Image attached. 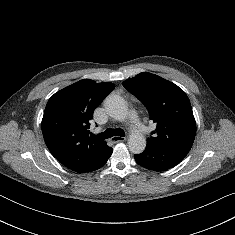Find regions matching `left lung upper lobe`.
Masks as SVG:
<instances>
[{"label":"left lung upper lobe","instance_id":"5c2ea615","mask_svg":"<svg viewBox=\"0 0 235 235\" xmlns=\"http://www.w3.org/2000/svg\"><path fill=\"white\" fill-rule=\"evenodd\" d=\"M123 86L147 108L157 124L147 144L188 153L196 135V122L189 98L174 83L143 72L124 81Z\"/></svg>","mask_w":235,"mask_h":235}]
</instances>
